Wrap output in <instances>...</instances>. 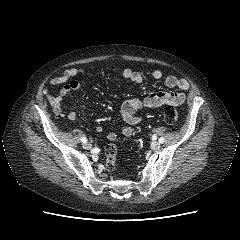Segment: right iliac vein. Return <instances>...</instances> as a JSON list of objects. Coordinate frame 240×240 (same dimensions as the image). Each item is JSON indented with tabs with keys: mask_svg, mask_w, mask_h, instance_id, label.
Segmentation results:
<instances>
[{
	"mask_svg": "<svg viewBox=\"0 0 240 240\" xmlns=\"http://www.w3.org/2000/svg\"><path fill=\"white\" fill-rule=\"evenodd\" d=\"M83 147H84L85 149L89 150V149L92 148V144L89 143V142H85V143L83 144Z\"/></svg>",
	"mask_w": 240,
	"mask_h": 240,
	"instance_id": "63e3f726",
	"label": "right iliac vein"
}]
</instances>
